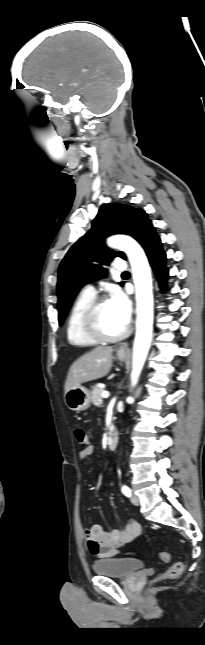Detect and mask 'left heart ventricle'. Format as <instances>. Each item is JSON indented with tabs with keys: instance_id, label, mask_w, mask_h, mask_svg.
<instances>
[{
	"instance_id": "b2bd125f",
	"label": "left heart ventricle",
	"mask_w": 205,
	"mask_h": 645,
	"mask_svg": "<svg viewBox=\"0 0 205 645\" xmlns=\"http://www.w3.org/2000/svg\"><path fill=\"white\" fill-rule=\"evenodd\" d=\"M98 320L101 330L109 335L118 334L126 328L109 301L101 307Z\"/></svg>"
}]
</instances>
